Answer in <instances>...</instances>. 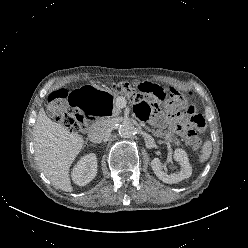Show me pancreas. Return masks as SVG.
Wrapping results in <instances>:
<instances>
[{
	"mask_svg": "<svg viewBox=\"0 0 248 248\" xmlns=\"http://www.w3.org/2000/svg\"><path fill=\"white\" fill-rule=\"evenodd\" d=\"M120 113V108L114 105L113 114L112 116H117ZM148 131L152 132V134L156 137L164 138L167 141L174 142L175 144H179L180 141L177 139L174 134L170 131H163V130H154L147 128Z\"/></svg>",
	"mask_w": 248,
	"mask_h": 248,
	"instance_id": "pancreas-1",
	"label": "pancreas"
}]
</instances>
